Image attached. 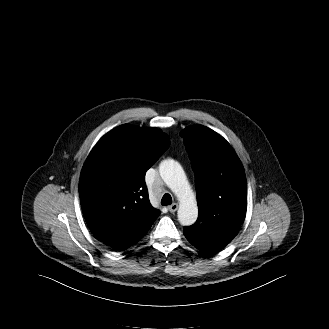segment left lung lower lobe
<instances>
[{
  "label": "left lung lower lobe",
  "instance_id": "0a47b994",
  "mask_svg": "<svg viewBox=\"0 0 329 329\" xmlns=\"http://www.w3.org/2000/svg\"><path fill=\"white\" fill-rule=\"evenodd\" d=\"M238 232L225 230L220 233V235L214 240H193L190 239L186 234L184 229V235L190 243H192L197 249L205 252L207 255H213L219 252L223 247H225L232 239L237 235Z\"/></svg>",
  "mask_w": 329,
  "mask_h": 329
}]
</instances>
